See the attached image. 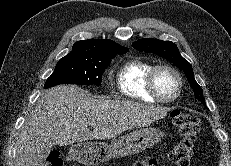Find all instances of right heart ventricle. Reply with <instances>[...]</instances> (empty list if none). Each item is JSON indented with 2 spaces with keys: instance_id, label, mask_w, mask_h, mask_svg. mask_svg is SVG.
<instances>
[{
  "instance_id": "right-heart-ventricle-1",
  "label": "right heart ventricle",
  "mask_w": 231,
  "mask_h": 166,
  "mask_svg": "<svg viewBox=\"0 0 231 166\" xmlns=\"http://www.w3.org/2000/svg\"><path fill=\"white\" fill-rule=\"evenodd\" d=\"M154 65L142 59H131L124 63L117 75L120 92L134 100L155 102L147 90V76Z\"/></svg>"
}]
</instances>
